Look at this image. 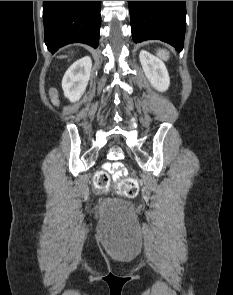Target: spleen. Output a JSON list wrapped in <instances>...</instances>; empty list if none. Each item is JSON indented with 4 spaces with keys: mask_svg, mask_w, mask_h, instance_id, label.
I'll return each instance as SVG.
<instances>
[{
    "mask_svg": "<svg viewBox=\"0 0 233 295\" xmlns=\"http://www.w3.org/2000/svg\"><path fill=\"white\" fill-rule=\"evenodd\" d=\"M158 55L165 60H167L169 58V53L163 49L158 51Z\"/></svg>",
    "mask_w": 233,
    "mask_h": 295,
    "instance_id": "obj_1",
    "label": "spleen"
}]
</instances>
